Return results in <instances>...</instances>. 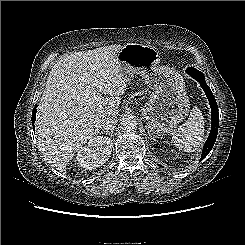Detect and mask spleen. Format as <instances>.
I'll use <instances>...</instances> for the list:
<instances>
[{
	"label": "spleen",
	"mask_w": 245,
	"mask_h": 245,
	"mask_svg": "<svg viewBox=\"0 0 245 245\" xmlns=\"http://www.w3.org/2000/svg\"><path fill=\"white\" fill-rule=\"evenodd\" d=\"M204 139V120L199 108L191 110L185 123L172 133V142L184 152L199 149Z\"/></svg>",
	"instance_id": "3e777b00"
}]
</instances>
